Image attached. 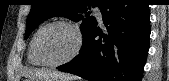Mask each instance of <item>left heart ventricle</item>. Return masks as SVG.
<instances>
[{"label": "left heart ventricle", "instance_id": "b2bd125f", "mask_svg": "<svg viewBox=\"0 0 169 81\" xmlns=\"http://www.w3.org/2000/svg\"><path fill=\"white\" fill-rule=\"evenodd\" d=\"M76 37L72 29L66 26H54L48 29L40 39V51L49 62L66 58L74 49Z\"/></svg>", "mask_w": 169, "mask_h": 81}]
</instances>
